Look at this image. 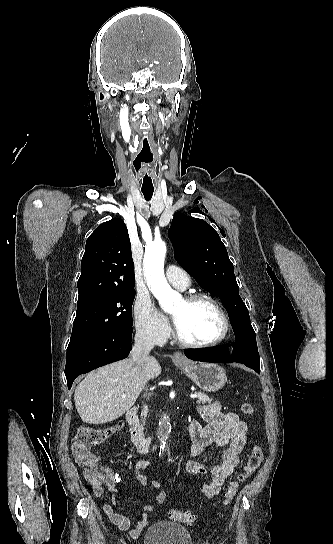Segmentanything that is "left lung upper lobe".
<instances>
[{
  "instance_id": "left-lung-upper-lobe-1",
  "label": "left lung upper lobe",
  "mask_w": 333,
  "mask_h": 544,
  "mask_svg": "<svg viewBox=\"0 0 333 544\" xmlns=\"http://www.w3.org/2000/svg\"><path fill=\"white\" fill-rule=\"evenodd\" d=\"M169 237L175 259L199 285L213 295L222 296L231 322L239 318L250 321L248 309L239 296L233 264L214 228L204 220L178 212L172 220Z\"/></svg>"
}]
</instances>
